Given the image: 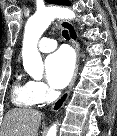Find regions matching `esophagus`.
I'll return each instance as SVG.
<instances>
[{"mask_svg":"<svg viewBox=\"0 0 117 136\" xmlns=\"http://www.w3.org/2000/svg\"><path fill=\"white\" fill-rule=\"evenodd\" d=\"M59 23L62 25L63 28H65L68 31L69 36H70V38L72 40L73 46L75 48L77 58H76L75 71H74L73 77H72V79L70 81V84H69L67 90L52 105V107H51L52 111L59 110L64 105V103L66 102V100L68 99L69 94L71 92V89L74 86V83H75V80H76V77H77L78 67H79V60H80V44H79V38H78V32H77V30L75 29V27L73 26V24L70 23L69 21L62 20V21H59Z\"/></svg>","mask_w":117,"mask_h":136,"instance_id":"1","label":"esophagus"}]
</instances>
